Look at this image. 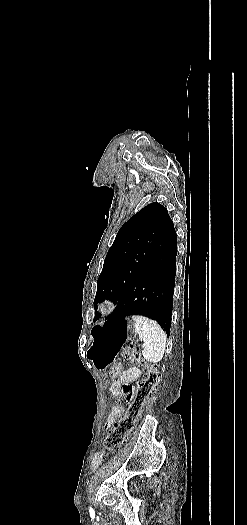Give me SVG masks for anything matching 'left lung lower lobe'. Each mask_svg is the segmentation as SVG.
Instances as JSON below:
<instances>
[{
	"label": "left lung lower lobe",
	"mask_w": 247,
	"mask_h": 525,
	"mask_svg": "<svg viewBox=\"0 0 247 525\" xmlns=\"http://www.w3.org/2000/svg\"><path fill=\"white\" fill-rule=\"evenodd\" d=\"M176 231L173 222L157 240L142 272L108 321L130 315H143L156 320L170 334L176 273Z\"/></svg>",
	"instance_id": "left-lung-lower-lobe-1"
}]
</instances>
